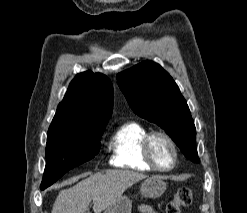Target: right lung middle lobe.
Masks as SVG:
<instances>
[{
	"label": "right lung middle lobe",
	"instance_id": "dd1d6c3e",
	"mask_svg": "<svg viewBox=\"0 0 247 213\" xmlns=\"http://www.w3.org/2000/svg\"><path fill=\"white\" fill-rule=\"evenodd\" d=\"M105 126L92 129L49 128L46 167L40 186L41 190L52 185L68 170L98 154Z\"/></svg>",
	"mask_w": 247,
	"mask_h": 213
}]
</instances>
